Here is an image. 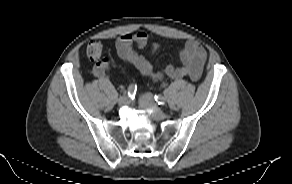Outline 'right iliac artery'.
<instances>
[{
  "instance_id": "right-iliac-artery-1",
  "label": "right iliac artery",
  "mask_w": 292,
  "mask_h": 184,
  "mask_svg": "<svg viewBox=\"0 0 292 184\" xmlns=\"http://www.w3.org/2000/svg\"><path fill=\"white\" fill-rule=\"evenodd\" d=\"M136 90H137V86L134 84H131L128 87V91H127L128 97L133 98L136 94Z\"/></svg>"
}]
</instances>
